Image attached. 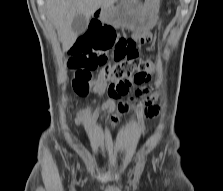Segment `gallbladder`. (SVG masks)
Instances as JSON below:
<instances>
[{"label": "gallbladder", "mask_w": 223, "mask_h": 191, "mask_svg": "<svg viewBox=\"0 0 223 191\" xmlns=\"http://www.w3.org/2000/svg\"><path fill=\"white\" fill-rule=\"evenodd\" d=\"M87 26L88 19L84 15L78 14L73 19L71 28L74 33L81 34L87 29Z\"/></svg>", "instance_id": "bac80fb5"}]
</instances>
